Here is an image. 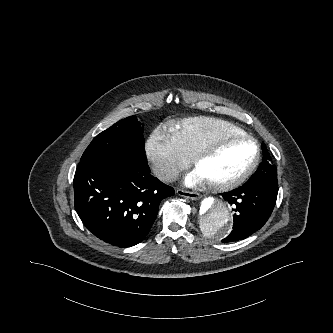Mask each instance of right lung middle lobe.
Instances as JSON below:
<instances>
[{
	"label": "right lung middle lobe",
	"mask_w": 333,
	"mask_h": 333,
	"mask_svg": "<svg viewBox=\"0 0 333 333\" xmlns=\"http://www.w3.org/2000/svg\"><path fill=\"white\" fill-rule=\"evenodd\" d=\"M98 160L147 165L143 128L135 115L118 121L98 134L83 153L80 163Z\"/></svg>",
	"instance_id": "obj_1"
}]
</instances>
